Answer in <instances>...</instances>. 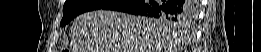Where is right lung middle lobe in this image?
<instances>
[{"label": "right lung middle lobe", "instance_id": "dd1d6c3e", "mask_svg": "<svg viewBox=\"0 0 261 52\" xmlns=\"http://www.w3.org/2000/svg\"><path fill=\"white\" fill-rule=\"evenodd\" d=\"M113 0H66L63 7V19L60 23V26H64L69 23L73 18L77 15L91 11L96 9H101L109 4H111ZM190 7L189 10L185 11L179 16H160L158 17L162 21L169 22L173 24L174 22H182L184 20L189 19L188 15L194 9L193 2H187Z\"/></svg>", "mask_w": 261, "mask_h": 52}]
</instances>
